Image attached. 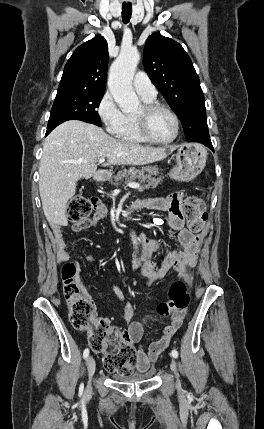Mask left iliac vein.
I'll list each match as a JSON object with an SVG mask.
<instances>
[{
	"instance_id": "4c4485c4",
	"label": "left iliac vein",
	"mask_w": 264,
	"mask_h": 429,
	"mask_svg": "<svg viewBox=\"0 0 264 429\" xmlns=\"http://www.w3.org/2000/svg\"><path fill=\"white\" fill-rule=\"evenodd\" d=\"M170 368H171L172 372L174 373L175 377L177 378V382H178L177 366H176V361L174 359H172V361H171Z\"/></svg>"
}]
</instances>
